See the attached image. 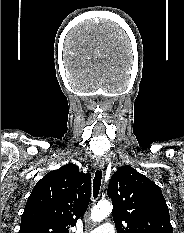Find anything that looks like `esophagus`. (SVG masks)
Masks as SVG:
<instances>
[{
  "mask_svg": "<svg viewBox=\"0 0 184 233\" xmlns=\"http://www.w3.org/2000/svg\"><path fill=\"white\" fill-rule=\"evenodd\" d=\"M96 166L98 169H103L104 168V160L102 159H96Z\"/></svg>",
  "mask_w": 184,
  "mask_h": 233,
  "instance_id": "obj_1",
  "label": "esophagus"
}]
</instances>
